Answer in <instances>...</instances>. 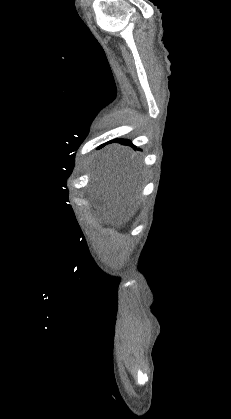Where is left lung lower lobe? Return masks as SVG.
Segmentation results:
<instances>
[{
  "instance_id": "obj_1",
  "label": "left lung lower lobe",
  "mask_w": 231,
  "mask_h": 419,
  "mask_svg": "<svg viewBox=\"0 0 231 419\" xmlns=\"http://www.w3.org/2000/svg\"><path fill=\"white\" fill-rule=\"evenodd\" d=\"M114 142H118V143H121V144H123V145H131L134 149H136V146H134V145L131 143V141L126 140V139H114V140H112V141L107 142L106 144H108V143H114ZM104 145H105V144L101 145L99 148L103 147Z\"/></svg>"
}]
</instances>
